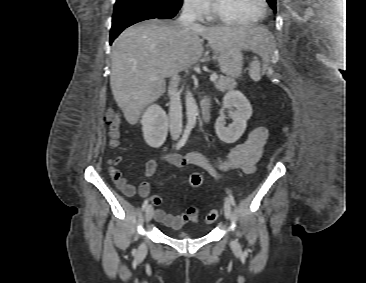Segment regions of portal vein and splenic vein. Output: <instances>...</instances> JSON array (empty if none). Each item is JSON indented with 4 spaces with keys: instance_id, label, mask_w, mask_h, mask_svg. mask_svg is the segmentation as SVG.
<instances>
[{
    "instance_id": "1",
    "label": "portal vein and splenic vein",
    "mask_w": 366,
    "mask_h": 283,
    "mask_svg": "<svg viewBox=\"0 0 366 283\" xmlns=\"http://www.w3.org/2000/svg\"><path fill=\"white\" fill-rule=\"evenodd\" d=\"M217 79H218V76H217L216 74H212V75L210 76V81H211V82H215Z\"/></svg>"
}]
</instances>
